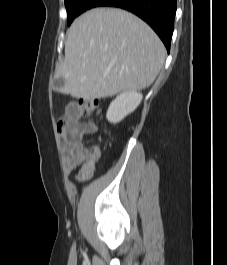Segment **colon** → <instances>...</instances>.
Masks as SVG:
<instances>
[{
	"label": "colon",
	"mask_w": 227,
	"mask_h": 265,
	"mask_svg": "<svg viewBox=\"0 0 227 265\" xmlns=\"http://www.w3.org/2000/svg\"><path fill=\"white\" fill-rule=\"evenodd\" d=\"M78 105H81V113L84 116H88L92 114L93 112L98 110L99 107V101L97 99H89V100H83L80 101ZM67 121L64 119L59 120L58 122V133L60 136L61 141L63 142L64 137L66 135V129H67Z\"/></svg>",
	"instance_id": "5ec220e1"
}]
</instances>
